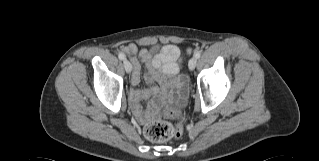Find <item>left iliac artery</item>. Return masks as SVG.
<instances>
[{"label":"left iliac artery","instance_id":"1","mask_svg":"<svg viewBox=\"0 0 319 161\" xmlns=\"http://www.w3.org/2000/svg\"><path fill=\"white\" fill-rule=\"evenodd\" d=\"M200 56H201V53H200V52H196V53L194 54V57H196L197 59L200 58Z\"/></svg>","mask_w":319,"mask_h":161}]
</instances>
